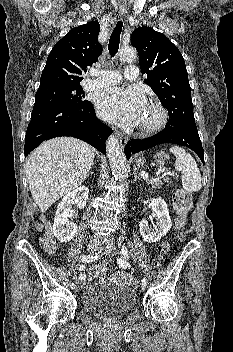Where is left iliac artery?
I'll return each mask as SVG.
<instances>
[{
  "mask_svg": "<svg viewBox=\"0 0 233 352\" xmlns=\"http://www.w3.org/2000/svg\"><path fill=\"white\" fill-rule=\"evenodd\" d=\"M112 251H113V247L110 246V247L107 248L106 254H109V253H111ZM147 283H148V282H147V279H146V278H143V279H142V284L146 286Z\"/></svg>",
  "mask_w": 233,
  "mask_h": 352,
  "instance_id": "left-iliac-artery-1",
  "label": "left iliac artery"
}]
</instances>
